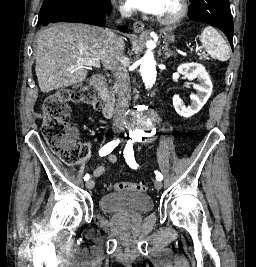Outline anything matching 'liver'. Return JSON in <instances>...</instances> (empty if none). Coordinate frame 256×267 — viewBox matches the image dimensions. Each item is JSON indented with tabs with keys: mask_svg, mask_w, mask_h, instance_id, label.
I'll return each mask as SVG.
<instances>
[{
	"mask_svg": "<svg viewBox=\"0 0 256 267\" xmlns=\"http://www.w3.org/2000/svg\"><path fill=\"white\" fill-rule=\"evenodd\" d=\"M108 32L97 26L64 22L40 30L35 72L41 92L84 82L88 74L84 64H103L111 70L115 52H122L124 44H113ZM112 48L117 50L112 52Z\"/></svg>",
	"mask_w": 256,
	"mask_h": 267,
	"instance_id": "1",
	"label": "liver"
}]
</instances>
